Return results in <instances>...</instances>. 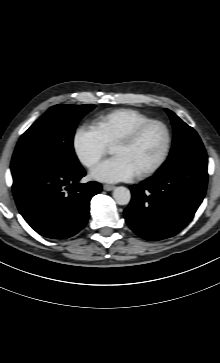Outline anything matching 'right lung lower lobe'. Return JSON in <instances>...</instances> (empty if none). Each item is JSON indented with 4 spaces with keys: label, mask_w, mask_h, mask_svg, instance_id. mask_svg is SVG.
<instances>
[{
    "label": "right lung lower lobe",
    "mask_w": 220,
    "mask_h": 363,
    "mask_svg": "<svg viewBox=\"0 0 220 363\" xmlns=\"http://www.w3.org/2000/svg\"><path fill=\"white\" fill-rule=\"evenodd\" d=\"M83 176L82 167L71 172L40 168L20 174L12 186L19 212L45 237H72L85 226L90 199L102 189L97 182L78 183Z\"/></svg>",
    "instance_id": "right-lung-lower-lobe-1"
}]
</instances>
